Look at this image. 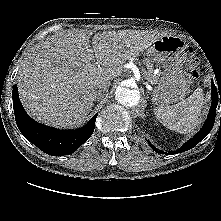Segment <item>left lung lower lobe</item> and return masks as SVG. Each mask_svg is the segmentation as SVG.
I'll return each instance as SVG.
<instances>
[{
  "label": "left lung lower lobe",
  "mask_w": 221,
  "mask_h": 221,
  "mask_svg": "<svg viewBox=\"0 0 221 221\" xmlns=\"http://www.w3.org/2000/svg\"><path fill=\"white\" fill-rule=\"evenodd\" d=\"M211 87H212V93H211L212 103H211V107L209 110L207 120L204 123L203 127L193 138H191L189 141H187L180 149H178L174 152H169V154H177V153H181V152H184V151H187V150L193 148L211 131L214 121H215L217 104L219 101L221 103V87L218 86V88H216L213 81H211ZM148 143L154 151H156L158 153H161V152L164 153L163 151H158L153 145H151L150 142H148Z\"/></svg>",
  "instance_id": "0a47b994"
}]
</instances>
